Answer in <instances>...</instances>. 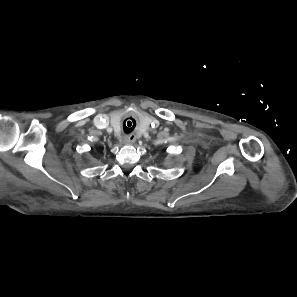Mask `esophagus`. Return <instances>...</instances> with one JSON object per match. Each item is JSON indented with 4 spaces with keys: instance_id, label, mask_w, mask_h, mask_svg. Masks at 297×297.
Instances as JSON below:
<instances>
[{
    "instance_id": "1",
    "label": "esophagus",
    "mask_w": 297,
    "mask_h": 297,
    "mask_svg": "<svg viewBox=\"0 0 297 297\" xmlns=\"http://www.w3.org/2000/svg\"><path fill=\"white\" fill-rule=\"evenodd\" d=\"M135 140H136V136L134 134L128 135L124 138V142L126 144H132L135 142Z\"/></svg>"
}]
</instances>
